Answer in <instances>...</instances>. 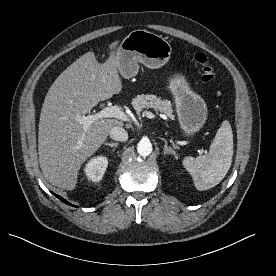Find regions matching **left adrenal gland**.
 Instances as JSON below:
<instances>
[{
	"label": "left adrenal gland",
	"instance_id": "1",
	"mask_svg": "<svg viewBox=\"0 0 276 276\" xmlns=\"http://www.w3.org/2000/svg\"><path fill=\"white\" fill-rule=\"evenodd\" d=\"M161 140L165 143L164 154H172L175 156V158H177V153L171 147L168 146L167 141L164 138H161Z\"/></svg>",
	"mask_w": 276,
	"mask_h": 276
}]
</instances>
